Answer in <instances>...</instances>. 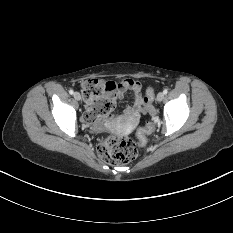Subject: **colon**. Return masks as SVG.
I'll return each instance as SVG.
<instances>
[{"label": "colon", "instance_id": "obj_1", "mask_svg": "<svg viewBox=\"0 0 233 233\" xmlns=\"http://www.w3.org/2000/svg\"><path fill=\"white\" fill-rule=\"evenodd\" d=\"M114 82L100 79H89L83 83L82 90L86 100H98L96 108L98 115H107L115 105ZM153 97V89L148 88L145 96L146 102ZM154 129L150 122L138 132V144L146 142V136ZM98 154L102 160L109 164H127L133 161L138 154L137 144L130 138L107 136L98 145Z\"/></svg>", "mask_w": 233, "mask_h": 233}]
</instances>
